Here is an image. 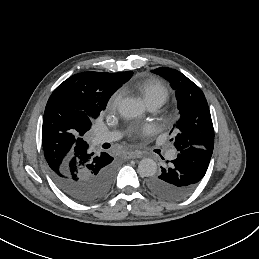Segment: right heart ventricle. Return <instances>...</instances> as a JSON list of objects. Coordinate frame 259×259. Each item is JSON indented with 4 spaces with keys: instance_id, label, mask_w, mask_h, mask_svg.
Instances as JSON below:
<instances>
[{
    "instance_id": "1",
    "label": "right heart ventricle",
    "mask_w": 259,
    "mask_h": 259,
    "mask_svg": "<svg viewBox=\"0 0 259 259\" xmlns=\"http://www.w3.org/2000/svg\"><path fill=\"white\" fill-rule=\"evenodd\" d=\"M132 88L134 91L140 93L146 102H159L161 105L169 98V91L167 87L159 81H153L150 84H144L143 79L135 81L131 85H125L121 89L123 91Z\"/></svg>"
}]
</instances>
